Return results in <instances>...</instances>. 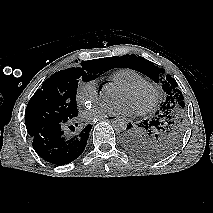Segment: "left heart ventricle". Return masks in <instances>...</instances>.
I'll list each match as a JSON object with an SVG mask.
<instances>
[{
    "instance_id": "obj_1",
    "label": "left heart ventricle",
    "mask_w": 213,
    "mask_h": 213,
    "mask_svg": "<svg viewBox=\"0 0 213 213\" xmlns=\"http://www.w3.org/2000/svg\"><path fill=\"white\" fill-rule=\"evenodd\" d=\"M152 95L148 88L142 87L135 91H126L119 89L116 101H125L133 109H140L147 106L151 101Z\"/></svg>"
}]
</instances>
